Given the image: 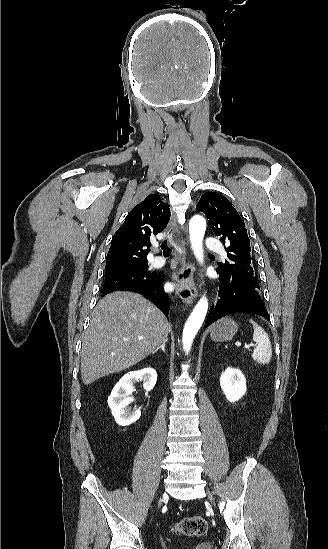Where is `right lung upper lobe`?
I'll list each match as a JSON object with an SVG mask.
<instances>
[{
  "mask_svg": "<svg viewBox=\"0 0 328 549\" xmlns=\"http://www.w3.org/2000/svg\"><path fill=\"white\" fill-rule=\"evenodd\" d=\"M170 214L158 194L136 205L112 237L105 272L147 265L150 239L166 228Z\"/></svg>",
  "mask_w": 328,
  "mask_h": 549,
  "instance_id": "obj_1",
  "label": "right lung upper lobe"
}]
</instances>
